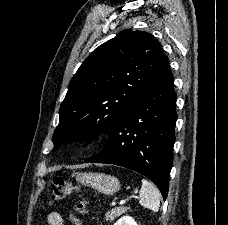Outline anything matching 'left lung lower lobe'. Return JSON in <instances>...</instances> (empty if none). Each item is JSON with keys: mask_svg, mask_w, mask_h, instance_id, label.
Listing matches in <instances>:
<instances>
[{"mask_svg": "<svg viewBox=\"0 0 228 225\" xmlns=\"http://www.w3.org/2000/svg\"><path fill=\"white\" fill-rule=\"evenodd\" d=\"M176 94L170 67L117 120L103 150L85 162L114 164L153 181L164 200L173 162Z\"/></svg>", "mask_w": 228, "mask_h": 225, "instance_id": "obj_1", "label": "left lung lower lobe"}]
</instances>
